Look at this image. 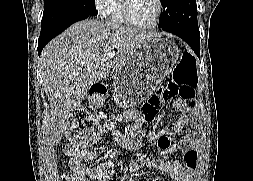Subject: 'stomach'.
Wrapping results in <instances>:
<instances>
[{"label":"stomach","instance_id":"0dacf381","mask_svg":"<svg viewBox=\"0 0 253 181\" xmlns=\"http://www.w3.org/2000/svg\"><path fill=\"white\" fill-rule=\"evenodd\" d=\"M179 58L176 44L166 38H148L113 77L114 100L130 108L143 102L171 73Z\"/></svg>","mask_w":253,"mask_h":181}]
</instances>
